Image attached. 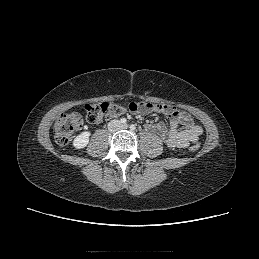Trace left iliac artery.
I'll return each mask as SVG.
<instances>
[{
    "label": "left iliac artery",
    "instance_id": "obj_1",
    "mask_svg": "<svg viewBox=\"0 0 259 259\" xmlns=\"http://www.w3.org/2000/svg\"><path fill=\"white\" fill-rule=\"evenodd\" d=\"M130 129L131 130H135L136 129V126L134 124L130 125Z\"/></svg>",
    "mask_w": 259,
    "mask_h": 259
}]
</instances>
